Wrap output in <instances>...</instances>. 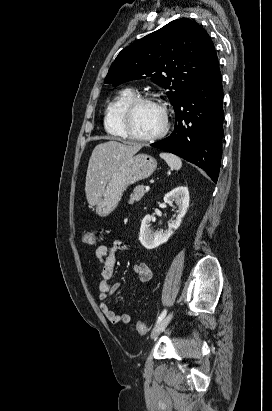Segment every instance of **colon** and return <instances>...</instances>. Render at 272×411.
Here are the masks:
<instances>
[{
	"mask_svg": "<svg viewBox=\"0 0 272 411\" xmlns=\"http://www.w3.org/2000/svg\"><path fill=\"white\" fill-rule=\"evenodd\" d=\"M83 243L87 245H92L96 242V235L94 232H87L84 234L82 238ZM136 330L140 335H145L149 331V327L143 323L142 321H139L136 325Z\"/></svg>",
	"mask_w": 272,
	"mask_h": 411,
	"instance_id": "1",
	"label": "colon"
}]
</instances>
